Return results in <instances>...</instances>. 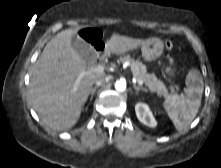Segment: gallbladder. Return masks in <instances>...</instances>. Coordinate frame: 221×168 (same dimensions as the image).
Wrapping results in <instances>:
<instances>
[{"mask_svg":"<svg viewBox=\"0 0 221 168\" xmlns=\"http://www.w3.org/2000/svg\"><path fill=\"white\" fill-rule=\"evenodd\" d=\"M71 43L75 52L82 58L85 63H95L96 54L90 44L79 37H72Z\"/></svg>","mask_w":221,"mask_h":168,"instance_id":"1","label":"gallbladder"}]
</instances>
